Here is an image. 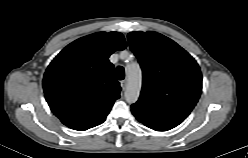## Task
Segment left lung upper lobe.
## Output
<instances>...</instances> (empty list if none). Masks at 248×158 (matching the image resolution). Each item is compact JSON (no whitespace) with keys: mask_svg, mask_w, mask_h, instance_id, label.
I'll return each instance as SVG.
<instances>
[{"mask_svg":"<svg viewBox=\"0 0 248 158\" xmlns=\"http://www.w3.org/2000/svg\"><path fill=\"white\" fill-rule=\"evenodd\" d=\"M128 41L143 71L140 98L131 106L133 115L156 131L176 127L201 94L197 62L173 40L156 32H131Z\"/></svg>","mask_w":248,"mask_h":158,"instance_id":"5c2ea615","label":"left lung upper lobe"}]
</instances>
